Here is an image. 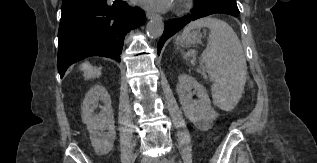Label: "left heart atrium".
I'll use <instances>...</instances> for the list:
<instances>
[{"instance_id":"left-heart-atrium-1","label":"left heart atrium","mask_w":317,"mask_h":163,"mask_svg":"<svg viewBox=\"0 0 317 163\" xmlns=\"http://www.w3.org/2000/svg\"><path fill=\"white\" fill-rule=\"evenodd\" d=\"M139 3L154 9L163 10L170 6L172 0H137Z\"/></svg>"}]
</instances>
